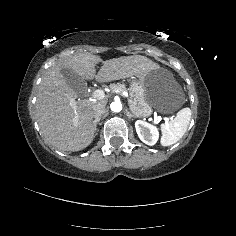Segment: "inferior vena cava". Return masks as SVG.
<instances>
[{
  "instance_id": "1",
  "label": "inferior vena cava",
  "mask_w": 236,
  "mask_h": 236,
  "mask_svg": "<svg viewBox=\"0 0 236 236\" xmlns=\"http://www.w3.org/2000/svg\"><path fill=\"white\" fill-rule=\"evenodd\" d=\"M105 112V105L101 103H96L93 105L92 117L97 121L99 117ZM94 120V121H95Z\"/></svg>"
}]
</instances>
